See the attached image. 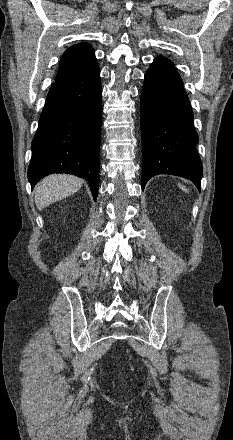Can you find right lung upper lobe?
I'll use <instances>...</instances> for the list:
<instances>
[{"label": "right lung upper lobe", "instance_id": "right-lung-upper-lobe-1", "mask_svg": "<svg viewBox=\"0 0 233 440\" xmlns=\"http://www.w3.org/2000/svg\"><path fill=\"white\" fill-rule=\"evenodd\" d=\"M97 65L94 50L89 44L74 45L64 52L56 81L80 75Z\"/></svg>", "mask_w": 233, "mask_h": 440}]
</instances>
